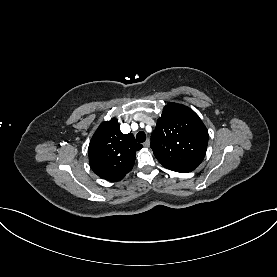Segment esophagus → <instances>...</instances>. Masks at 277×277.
Wrapping results in <instances>:
<instances>
[{"label":"esophagus","instance_id":"34e87169","mask_svg":"<svg viewBox=\"0 0 277 277\" xmlns=\"http://www.w3.org/2000/svg\"><path fill=\"white\" fill-rule=\"evenodd\" d=\"M143 146H144L145 148H148V147L150 146V140L147 139V140L143 143Z\"/></svg>","mask_w":277,"mask_h":277}]
</instances>
